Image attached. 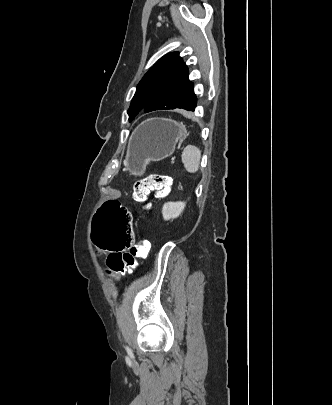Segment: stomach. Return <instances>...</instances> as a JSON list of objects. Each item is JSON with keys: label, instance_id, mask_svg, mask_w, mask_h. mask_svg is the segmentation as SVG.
Listing matches in <instances>:
<instances>
[{"label": "stomach", "instance_id": "1", "mask_svg": "<svg viewBox=\"0 0 332 405\" xmlns=\"http://www.w3.org/2000/svg\"><path fill=\"white\" fill-rule=\"evenodd\" d=\"M187 134L185 126L166 119H148L132 133L126 168L141 176L150 161H160L174 153L178 140Z\"/></svg>", "mask_w": 332, "mask_h": 405}]
</instances>
